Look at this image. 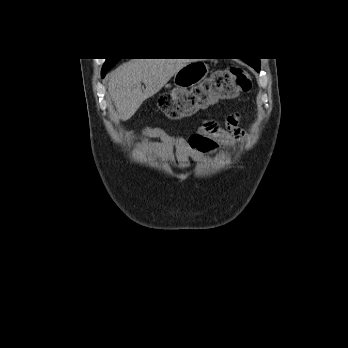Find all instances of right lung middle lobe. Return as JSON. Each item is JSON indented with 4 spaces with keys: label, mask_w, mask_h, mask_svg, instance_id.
Instances as JSON below:
<instances>
[{
    "label": "right lung middle lobe",
    "mask_w": 348,
    "mask_h": 348,
    "mask_svg": "<svg viewBox=\"0 0 348 348\" xmlns=\"http://www.w3.org/2000/svg\"><path fill=\"white\" fill-rule=\"evenodd\" d=\"M119 59H107L102 69H110L113 67Z\"/></svg>",
    "instance_id": "1"
}]
</instances>
